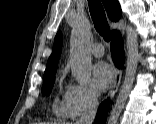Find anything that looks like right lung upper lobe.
Returning a JSON list of instances; mask_svg holds the SVG:
<instances>
[{
    "mask_svg": "<svg viewBox=\"0 0 156 124\" xmlns=\"http://www.w3.org/2000/svg\"><path fill=\"white\" fill-rule=\"evenodd\" d=\"M104 7L107 11L109 18L113 21H118L121 17L122 11L117 0H102ZM62 49V34L58 32L56 34L54 45L52 49V54L47 62L44 77L51 76L56 73L58 60Z\"/></svg>",
    "mask_w": 156,
    "mask_h": 124,
    "instance_id": "right-lung-upper-lobe-1",
    "label": "right lung upper lobe"
}]
</instances>
